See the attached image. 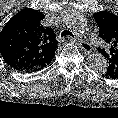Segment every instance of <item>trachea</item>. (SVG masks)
<instances>
[{
    "mask_svg": "<svg viewBox=\"0 0 118 118\" xmlns=\"http://www.w3.org/2000/svg\"><path fill=\"white\" fill-rule=\"evenodd\" d=\"M61 36H62V37H66V36L74 37L73 33L70 32V31H68V30L62 31Z\"/></svg>",
    "mask_w": 118,
    "mask_h": 118,
    "instance_id": "obj_1",
    "label": "trachea"
}]
</instances>
